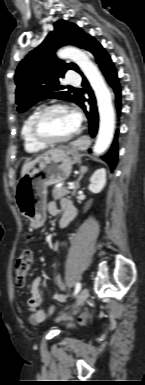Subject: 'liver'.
<instances>
[{"label":"liver","mask_w":145,"mask_h":385,"mask_svg":"<svg viewBox=\"0 0 145 385\" xmlns=\"http://www.w3.org/2000/svg\"><path fill=\"white\" fill-rule=\"evenodd\" d=\"M39 158V157H38ZM36 158L35 160L33 161H30V162H26L23 167H22V171H21V177L24 176L28 171L29 169L31 168V166L36 162V160L38 159Z\"/></svg>","instance_id":"liver-1"}]
</instances>
